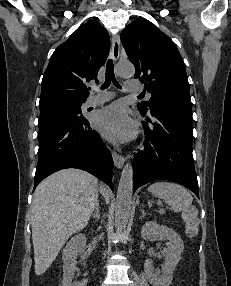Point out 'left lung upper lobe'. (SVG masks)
I'll use <instances>...</instances> for the list:
<instances>
[{
    "label": "left lung upper lobe",
    "instance_id": "1",
    "mask_svg": "<svg viewBox=\"0 0 231 286\" xmlns=\"http://www.w3.org/2000/svg\"><path fill=\"white\" fill-rule=\"evenodd\" d=\"M128 58L152 94L139 103L141 113L151 110L156 102L192 107L184 61L173 41L150 21L141 18L131 22L120 35Z\"/></svg>",
    "mask_w": 231,
    "mask_h": 286
}]
</instances>
